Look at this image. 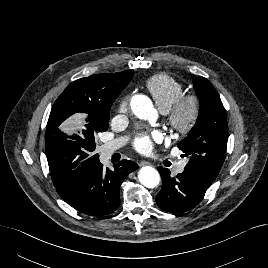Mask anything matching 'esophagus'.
Returning <instances> with one entry per match:
<instances>
[{"label":"esophagus","instance_id":"1","mask_svg":"<svg viewBox=\"0 0 268 268\" xmlns=\"http://www.w3.org/2000/svg\"><path fill=\"white\" fill-rule=\"evenodd\" d=\"M145 165H150V163L148 161H145V160L139 161V166H145Z\"/></svg>","mask_w":268,"mask_h":268}]
</instances>
